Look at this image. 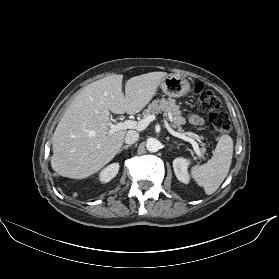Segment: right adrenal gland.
<instances>
[{
	"instance_id": "right-adrenal-gland-1",
	"label": "right adrenal gland",
	"mask_w": 279,
	"mask_h": 279,
	"mask_svg": "<svg viewBox=\"0 0 279 279\" xmlns=\"http://www.w3.org/2000/svg\"><path fill=\"white\" fill-rule=\"evenodd\" d=\"M130 147V145H124L123 147H121V149H119L118 154L121 153L123 150L128 149Z\"/></svg>"
}]
</instances>
